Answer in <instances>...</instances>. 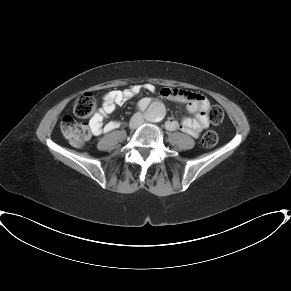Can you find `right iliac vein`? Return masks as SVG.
<instances>
[{
	"instance_id": "right-iliac-vein-1",
	"label": "right iliac vein",
	"mask_w": 291,
	"mask_h": 291,
	"mask_svg": "<svg viewBox=\"0 0 291 291\" xmlns=\"http://www.w3.org/2000/svg\"><path fill=\"white\" fill-rule=\"evenodd\" d=\"M136 127H137V121H136V119H132L129 123V128L135 129Z\"/></svg>"
}]
</instances>
